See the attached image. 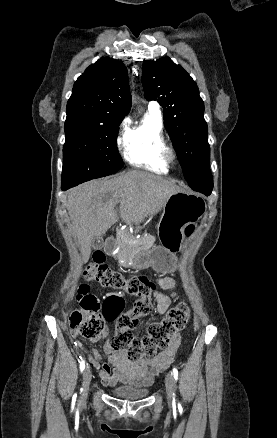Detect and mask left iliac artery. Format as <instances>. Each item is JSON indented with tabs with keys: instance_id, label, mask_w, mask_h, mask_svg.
<instances>
[{
	"instance_id": "obj_1",
	"label": "left iliac artery",
	"mask_w": 277,
	"mask_h": 438,
	"mask_svg": "<svg viewBox=\"0 0 277 438\" xmlns=\"http://www.w3.org/2000/svg\"><path fill=\"white\" fill-rule=\"evenodd\" d=\"M173 375H174L175 380H177L178 379V370L176 368H173Z\"/></svg>"
}]
</instances>
